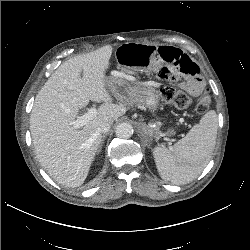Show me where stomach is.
Returning a JSON list of instances; mask_svg holds the SVG:
<instances>
[{"instance_id": "stomach-1", "label": "stomach", "mask_w": 250, "mask_h": 250, "mask_svg": "<svg viewBox=\"0 0 250 250\" xmlns=\"http://www.w3.org/2000/svg\"><path fill=\"white\" fill-rule=\"evenodd\" d=\"M126 44V43H124ZM140 44V43H135ZM149 46H154L147 44ZM123 71V70H122ZM107 88L115 95L131 101L143 108L155 110L159 101V95L155 88L147 83L120 84L114 79L106 80Z\"/></svg>"}]
</instances>
